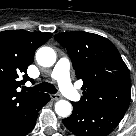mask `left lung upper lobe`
Returning a JSON list of instances; mask_svg holds the SVG:
<instances>
[{
    "label": "left lung upper lobe",
    "instance_id": "left-lung-upper-lobe-1",
    "mask_svg": "<svg viewBox=\"0 0 136 136\" xmlns=\"http://www.w3.org/2000/svg\"><path fill=\"white\" fill-rule=\"evenodd\" d=\"M55 39L68 51L84 96L79 103L124 114L129 106V70L113 43L87 32H64Z\"/></svg>",
    "mask_w": 136,
    "mask_h": 136
}]
</instances>
